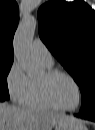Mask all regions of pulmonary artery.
Instances as JSON below:
<instances>
[{
    "instance_id": "obj_1",
    "label": "pulmonary artery",
    "mask_w": 95,
    "mask_h": 130,
    "mask_svg": "<svg viewBox=\"0 0 95 130\" xmlns=\"http://www.w3.org/2000/svg\"><path fill=\"white\" fill-rule=\"evenodd\" d=\"M32 49L35 57L38 58L42 63L48 66L53 64L51 53L39 38H36L33 41Z\"/></svg>"
}]
</instances>
